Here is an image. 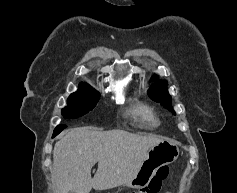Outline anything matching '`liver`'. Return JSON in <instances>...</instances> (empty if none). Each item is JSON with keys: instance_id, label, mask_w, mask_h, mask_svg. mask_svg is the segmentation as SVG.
Instances as JSON below:
<instances>
[{"instance_id": "6515ba94", "label": "liver", "mask_w": 237, "mask_h": 193, "mask_svg": "<svg viewBox=\"0 0 237 193\" xmlns=\"http://www.w3.org/2000/svg\"><path fill=\"white\" fill-rule=\"evenodd\" d=\"M162 140L120 129L72 128L54 146V193H89L92 188L107 190L127 184L138 172L147 151ZM97 162L92 178L91 169Z\"/></svg>"}]
</instances>
